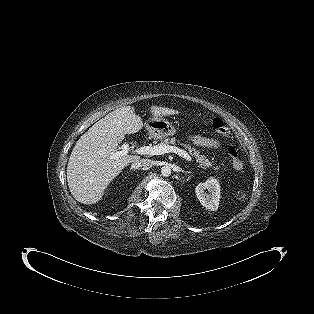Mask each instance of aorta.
<instances>
[{
    "mask_svg": "<svg viewBox=\"0 0 314 314\" xmlns=\"http://www.w3.org/2000/svg\"><path fill=\"white\" fill-rule=\"evenodd\" d=\"M161 174H162V176L163 177H168V176H170V174H171V168L169 167V166H163L162 168H161Z\"/></svg>",
    "mask_w": 314,
    "mask_h": 314,
    "instance_id": "762f6f07",
    "label": "aorta"
}]
</instances>
